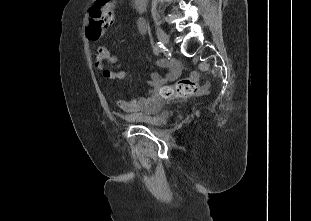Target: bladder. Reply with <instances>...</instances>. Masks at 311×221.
<instances>
[{
	"mask_svg": "<svg viewBox=\"0 0 311 221\" xmlns=\"http://www.w3.org/2000/svg\"><path fill=\"white\" fill-rule=\"evenodd\" d=\"M164 102L149 104L146 110L132 114L142 125L161 126L167 122V115L164 113Z\"/></svg>",
	"mask_w": 311,
	"mask_h": 221,
	"instance_id": "obj_1",
	"label": "bladder"
}]
</instances>
